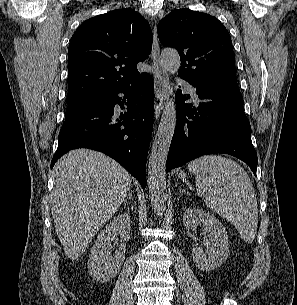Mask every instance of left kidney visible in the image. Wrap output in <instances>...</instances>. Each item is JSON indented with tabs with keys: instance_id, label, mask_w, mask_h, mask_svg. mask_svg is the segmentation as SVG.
I'll return each instance as SVG.
<instances>
[{
	"instance_id": "obj_1",
	"label": "left kidney",
	"mask_w": 297,
	"mask_h": 305,
	"mask_svg": "<svg viewBox=\"0 0 297 305\" xmlns=\"http://www.w3.org/2000/svg\"><path fill=\"white\" fill-rule=\"evenodd\" d=\"M184 226L189 230H196L202 223L209 237L203 239L206 250L195 243L192 247L193 261L198 268L204 271L214 270L222 265L229 256L228 235L223 224L209 213L198 208L188 209L183 216Z\"/></svg>"
}]
</instances>
